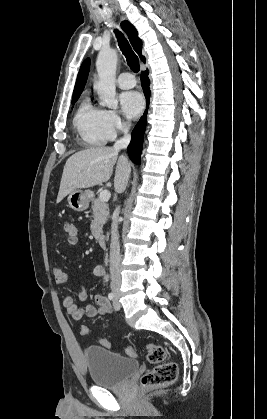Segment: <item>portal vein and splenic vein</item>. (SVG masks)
I'll use <instances>...</instances> for the list:
<instances>
[{
	"instance_id": "portal-vein-and-splenic-vein-1",
	"label": "portal vein and splenic vein",
	"mask_w": 267,
	"mask_h": 419,
	"mask_svg": "<svg viewBox=\"0 0 267 419\" xmlns=\"http://www.w3.org/2000/svg\"><path fill=\"white\" fill-rule=\"evenodd\" d=\"M110 191L109 190H102L99 194V199L102 201H108L110 199Z\"/></svg>"
}]
</instances>
